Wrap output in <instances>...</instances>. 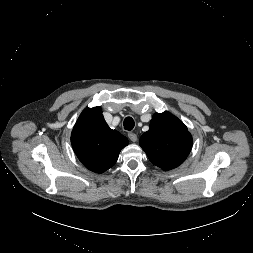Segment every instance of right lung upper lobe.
Segmentation results:
<instances>
[{"label":"right lung upper lobe","instance_id":"obj_1","mask_svg":"<svg viewBox=\"0 0 253 253\" xmlns=\"http://www.w3.org/2000/svg\"><path fill=\"white\" fill-rule=\"evenodd\" d=\"M71 143L86 168L102 173L115 164L128 139L107 125L100 107H87L72 130Z\"/></svg>","mask_w":253,"mask_h":253}]
</instances>
